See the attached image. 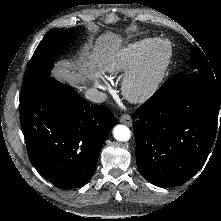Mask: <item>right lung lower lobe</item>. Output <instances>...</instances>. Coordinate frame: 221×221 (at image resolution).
Masks as SVG:
<instances>
[{"label":"right lung lower lobe","mask_w":221,"mask_h":221,"mask_svg":"<svg viewBox=\"0 0 221 221\" xmlns=\"http://www.w3.org/2000/svg\"><path fill=\"white\" fill-rule=\"evenodd\" d=\"M22 132L36 170L61 189L86 184L111 128L113 113L90 105L52 77L20 101Z\"/></svg>","instance_id":"right-lung-lower-lobe-1"}]
</instances>
